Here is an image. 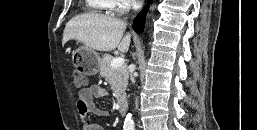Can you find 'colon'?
<instances>
[{
    "mask_svg": "<svg viewBox=\"0 0 257 130\" xmlns=\"http://www.w3.org/2000/svg\"><path fill=\"white\" fill-rule=\"evenodd\" d=\"M73 80L76 87H84L87 84L86 76L78 70H75L73 73Z\"/></svg>",
    "mask_w": 257,
    "mask_h": 130,
    "instance_id": "5ec220e1",
    "label": "colon"
}]
</instances>
